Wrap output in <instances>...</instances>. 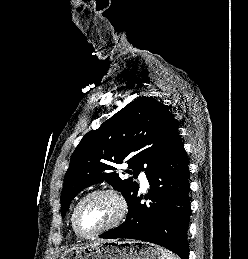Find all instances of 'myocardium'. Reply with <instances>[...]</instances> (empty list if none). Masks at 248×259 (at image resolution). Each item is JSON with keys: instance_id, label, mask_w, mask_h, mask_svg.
Wrapping results in <instances>:
<instances>
[{"instance_id": "myocardium-1", "label": "myocardium", "mask_w": 248, "mask_h": 259, "mask_svg": "<svg viewBox=\"0 0 248 259\" xmlns=\"http://www.w3.org/2000/svg\"><path fill=\"white\" fill-rule=\"evenodd\" d=\"M97 195L112 196L119 205V212H118V215L116 216V218L111 223L102 227L101 229H99L96 232L88 234V233L83 232L80 229V227L78 225V221H77V215H78V211H79L80 207L82 206V204L85 201H87L88 199H90L91 197H94ZM127 212H128L127 202L121 193H119L117 190H115L113 188H99V189H95V190L87 193L84 197H82L79 200V202L76 204V206L73 210L71 222H72L73 229L77 235H79L80 237H83V238L91 239V238H95V237L119 226L124 221V219L127 215Z\"/></svg>"}]
</instances>
